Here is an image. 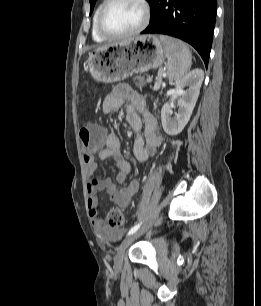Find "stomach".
<instances>
[{
	"mask_svg": "<svg viewBox=\"0 0 261 306\" xmlns=\"http://www.w3.org/2000/svg\"><path fill=\"white\" fill-rule=\"evenodd\" d=\"M165 57L156 35H139L95 49L89 53L86 68L95 81L112 83L158 68Z\"/></svg>",
	"mask_w": 261,
	"mask_h": 306,
	"instance_id": "0dacf381",
	"label": "stomach"
}]
</instances>
